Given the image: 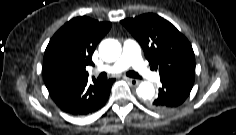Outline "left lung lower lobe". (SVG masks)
Wrapping results in <instances>:
<instances>
[{
  "label": "left lung lower lobe",
  "mask_w": 236,
  "mask_h": 135,
  "mask_svg": "<svg viewBox=\"0 0 236 135\" xmlns=\"http://www.w3.org/2000/svg\"><path fill=\"white\" fill-rule=\"evenodd\" d=\"M195 77L191 75H171L161 77L158 97L151 107L156 110H170L181 105L189 96Z\"/></svg>",
  "instance_id": "0a47b994"
}]
</instances>
